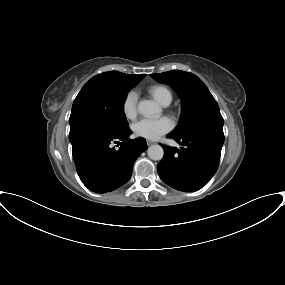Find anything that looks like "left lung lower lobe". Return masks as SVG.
<instances>
[{
    "mask_svg": "<svg viewBox=\"0 0 285 285\" xmlns=\"http://www.w3.org/2000/svg\"><path fill=\"white\" fill-rule=\"evenodd\" d=\"M167 137L184 147L162 145L164 156L157 167L160 178L176 190L194 192L201 189L218 168L224 134L202 130L181 137L170 133Z\"/></svg>",
    "mask_w": 285,
    "mask_h": 285,
    "instance_id": "1",
    "label": "left lung lower lobe"
}]
</instances>
